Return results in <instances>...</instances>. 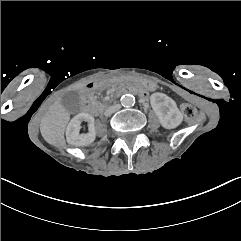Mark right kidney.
Returning <instances> with one entry per match:
<instances>
[{
  "label": "right kidney",
  "instance_id": "right-kidney-1",
  "mask_svg": "<svg viewBox=\"0 0 241 241\" xmlns=\"http://www.w3.org/2000/svg\"><path fill=\"white\" fill-rule=\"evenodd\" d=\"M83 121L88 122L89 132L86 134H79ZM95 137L94 117L88 113H79L74 116L66 128L67 142L74 146H87L95 140Z\"/></svg>",
  "mask_w": 241,
  "mask_h": 241
}]
</instances>
